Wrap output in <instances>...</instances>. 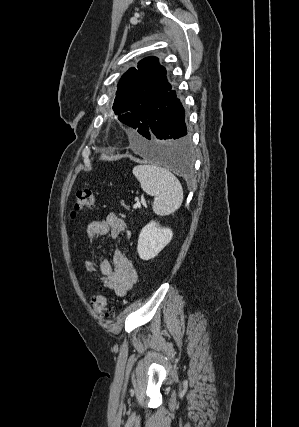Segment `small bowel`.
I'll return each mask as SVG.
<instances>
[{
	"mask_svg": "<svg viewBox=\"0 0 299 427\" xmlns=\"http://www.w3.org/2000/svg\"><path fill=\"white\" fill-rule=\"evenodd\" d=\"M87 234L91 239L109 235L118 238L128 234L126 222L115 213H109L104 218L92 221L87 227ZM85 271L92 275L97 272V266L93 259H87L84 263ZM100 280L110 292L118 297L125 296L137 281V271L132 261L121 251L116 250L111 260H103L98 266Z\"/></svg>",
	"mask_w": 299,
	"mask_h": 427,
	"instance_id": "obj_1",
	"label": "small bowel"
}]
</instances>
